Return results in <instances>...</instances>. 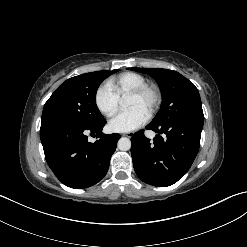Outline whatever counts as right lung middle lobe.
<instances>
[{
    "label": "right lung middle lobe",
    "mask_w": 247,
    "mask_h": 247,
    "mask_svg": "<svg viewBox=\"0 0 247 247\" xmlns=\"http://www.w3.org/2000/svg\"><path fill=\"white\" fill-rule=\"evenodd\" d=\"M118 71H96L67 79L45 103L41 126L58 122L90 126L103 120L96 92L104 79Z\"/></svg>",
    "instance_id": "right-lung-middle-lobe-1"
}]
</instances>
